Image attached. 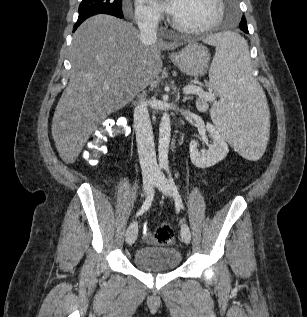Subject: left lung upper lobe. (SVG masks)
<instances>
[{
  "label": "left lung upper lobe",
  "instance_id": "5c2ea615",
  "mask_svg": "<svg viewBox=\"0 0 307 317\" xmlns=\"http://www.w3.org/2000/svg\"><path fill=\"white\" fill-rule=\"evenodd\" d=\"M243 18H244V17H242V20H241V21H243ZM244 21H246V19H245V18H244Z\"/></svg>",
  "mask_w": 307,
  "mask_h": 317
}]
</instances>
